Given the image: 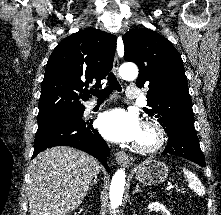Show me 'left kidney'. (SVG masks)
<instances>
[{
    "label": "left kidney",
    "mask_w": 221,
    "mask_h": 215,
    "mask_svg": "<svg viewBox=\"0 0 221 215\" xmlns=\"http://www.w3.org/2000/svg\"><path fill=\"white\" fill-rule=\"evenodd\" d=\"M148 209L151 211L160 212L162 215H171L167 208L159 202H153L149 204Z\"/></svg>",
    "instance_id": "5707ae66"
}]
</instances>
